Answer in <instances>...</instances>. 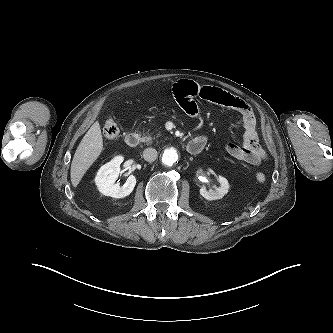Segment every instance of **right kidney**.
Returning a JSON list of instances; mask_svg holds the SVG:
<instances>
[{
  "mask_svg": "<svg viewBox=\"0 0 333 333\" xmlns=\"http://www.w3.org/2000/svg\"><path fill=\"white\" fill-rule=\"evenodd\" d=\"M122 162L123 157L117 156L98 170L95 183L99 192L103 195L113 198H124L133 191L136 185L134 175H130L123 186L115 184V181L121 173L120 164Z\"/></svg>",
  "mask_w": 333,
  "mask_h": 333,
  "instance_id": "1",
  "label": "right kidney"
}]
</instances>
